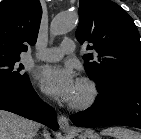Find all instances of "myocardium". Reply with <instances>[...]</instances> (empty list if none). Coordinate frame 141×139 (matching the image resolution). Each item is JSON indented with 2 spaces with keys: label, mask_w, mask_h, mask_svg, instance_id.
<instances>
[{
  "label": "myocardium",
  "mask_w": 141,
  "mask_h": 139,
  "mask_svg": "<svg viewBox=\"0 0 141 139\" xmlns=\"http://www.w3.org/2000/svg\"><path fill=\"white\" fill-rule=\"evenodd\" d=\"M77 85L82 88L83 95L77 100L70 102V107L74 110L82 111L92 107L99 97V88L95 81L90 78L82 77Z\"/></svg>",
  "instance_id": "1"
}]
</instances>
